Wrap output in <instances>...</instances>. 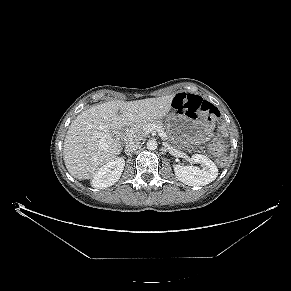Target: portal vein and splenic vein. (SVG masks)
Instances as JSON below:
<instances>
[{
	"label": "portal vein and splenic vein",
	"instance_id": "obj_1",
	"mask_svg": "<svg viewBox=\"0 0 291 291\" xmlns=\"http://www.w3.org/2000/svg\"><path fill=\"white\" fill-rule=\"evenodd\" d=\"M147 130L148 131H152V130H156L158 132V134L161 136V137H167L166 136V133L163 131V129H161L160 127L158 126H155V125H148L147 127Z\"/></svg>",
	"mask_w": 291,
	"mask_h": 291
}]
</instances>
